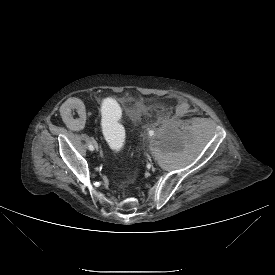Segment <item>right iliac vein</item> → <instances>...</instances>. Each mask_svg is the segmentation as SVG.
Masks as SVG:
<instances>
[{"label": "right iliac vein", "mask_w": 275, "mask_h": 275, "mask_svg": "<svg viewBox=\"0 0 275 275\" xmlns=\"http://www.w3.org/2000/svg\"><path fill=\"white\" fill-rule=\"evenodd\" d=\"M93 144H94L95 148L98 150V144H97V142L94 141Z\"/></svg>", "instance_id": "right-iliac-vein-1"}]
</instances>
